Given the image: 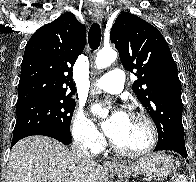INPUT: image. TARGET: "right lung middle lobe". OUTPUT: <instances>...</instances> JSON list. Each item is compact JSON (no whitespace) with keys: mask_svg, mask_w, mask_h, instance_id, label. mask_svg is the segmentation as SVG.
Listing matches in <instances>:
<instances>
[{"mask_svg":"<svg viewBox=\"0 0 196 182\" xmlns=\"http://www.w3.org/2000/svg\"><path fill=\"white\" fill-rule=\"evenodd\" d=\"M74 109L75 101L66 96L41 98L18 104L13 136L31 129L48 128L71 137L70 123Z\"/></svg>","mask_w":196,"mask_h":182,"instance_id":"dd1d6c3e","label":"right lung middle lobe"}]
</instances>
